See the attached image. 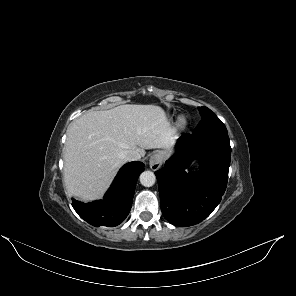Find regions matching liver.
Wrapping results in <instances>:
<instances>
[{
    "mask_svg": "<svg viewBox=\"0 0 296 296\" xmlns=\"http://www.w3.org/2000/svg\"><path fill=\"white\" fill-rule=\"evenodd\" d=\"M172 128L164 110L155 105L126 104L90 111L67 131L64 150V184L82 201L99 199L126 162L125 151L142 157L145 149H168Z\"/></svg>",
    "mask_w": 296,
    "mask_h": 296,
    "instance_id": "1",
    "label": "liver"
}]
</instances>
